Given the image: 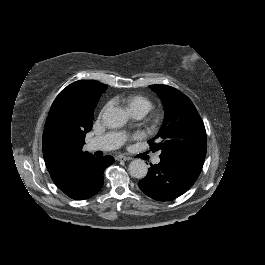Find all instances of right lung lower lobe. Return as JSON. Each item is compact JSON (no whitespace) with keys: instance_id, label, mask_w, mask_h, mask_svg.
Instances as JSON below:
<instances>
[{"instance_id":"obj_1","label":"right lung lower lobe","mask_w":265,"mask_h":265,"mask_svg":"<svg viewBox=\"0 0 265 265\" xmlns=\"http://www.w3.org/2000/svg\"><path fill=\"white\" fill-rule=\"evenodd\" d=\"M113 162L114 158L109 155L103 158H88L64 183L57 187L72 199H87L102 188L103 172Z\"/></svg>"}]
</instances>
